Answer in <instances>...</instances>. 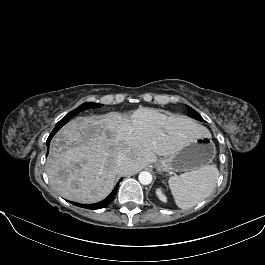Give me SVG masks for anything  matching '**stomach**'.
<instances>
[{"label": "stomach", "instance_id": "obj_1", "mask_svg": "<svg viewBox=\"0 0 265 265\" xmlns=\"http://www.w3.org/2000/svg\"><path fill=\"white\" fill-rule=\"evenodd\" d=\"M216 149L209 133L201 136H189L171 155L159 160L156 168L159 172L193 171L209 165L215 157Z\"/></svg>", "mask_w": 265, "mask_h": 265}]
</instances>
